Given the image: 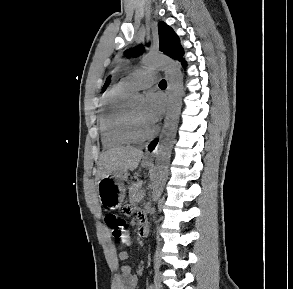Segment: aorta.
Returning a JSON list of instances; mask_svg holds the SVG:
<instances>
[{
  "mask_svg": "<svg viewBox=\"0 0 293 289\" xmlns=\"http://www.w3.org/2000/svg\"><path fill=\"white\" fill-rule=\"evenodd\" d=\"M144 68H160L165 72L168 81V110L165 118L162 138L156 150L155 172L153 177L152 201L160 198L164 183L168 176L171 151L177 132L183 96V75L180 67L172 60L164 57L146 56L142 60ZM136 103L143 101L139 93L132 95Z\"/></svg>",
  "mask_w": 293,
  "mask_h": 289,
  "instance_id": "762f6f07",
  "label": "aorta"
}]
</instances>
